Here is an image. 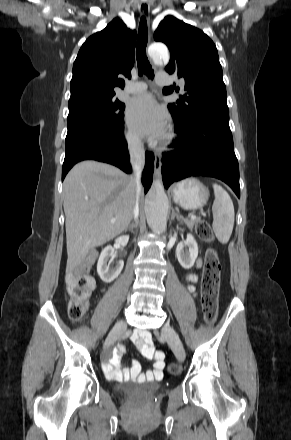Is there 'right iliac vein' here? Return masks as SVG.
I'll use <instances>...</instances> for the list:
<instances>
[{
    "mask_svg": "<svg viewBox=\"0 0 291 440\" xmlns=\"http://www.w3.org/2000/svg\"><path fill=\"white\" fill-rule=\"evenodd\" d=\"M124 328H125V323L123 321H119L109 333L105 341L104 347L106 348L114 344V342L120 338L122 334V330Z\"/></svg>",
    "mask_w": 291,
    "mask_h": 440,
    "instance_id": "obj_1",
    "label": "right iliac vein"
}]
</instances>
